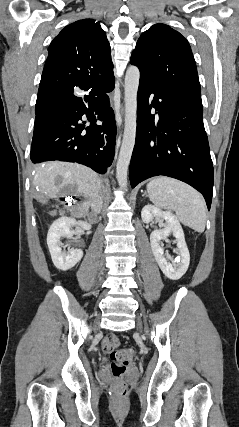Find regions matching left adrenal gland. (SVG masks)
Here are the masks:
<instances>
[{
	"label": "left adrenal gland",
	"mask_w": 239,
	"mask_h": 427,
	"mask_svg": "<svg viewBox=\"0 0 239 427\" xmlns=\"http://www.w3.org/2000/svg\"><path fill=\"white\" fill-rule=\"evenodd\" d=\"M142 196H146V197H148V195H147L146 191L144 192V194H143Z\"/></svg>",
	"instance_id": "a2214340"
}]
</instances>
